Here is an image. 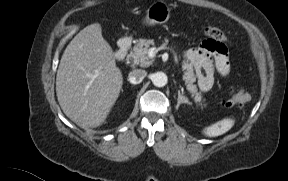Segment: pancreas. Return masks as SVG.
Wrapping results in <instances>:
<instances>
[{
  "mask_svg": "<svg viewBox=\"0 0 288 181\" xmlns=\"http://www.w3.org/2000/svg\"><path fill=\"white\" fill-rule=\"evenodd\" d=\"M155 42L151 39H139L137 44L133 48V57L136 63L141 66H146L149 64L147 60L148 52L151 46H154ZM182 68L184 70L183 80L185 81L186 89L190 92L191 97L194 102L201 106H206L202 104L203 97L198 91L197 86L194 84L196 77L194 75V69L192 64L188 60L182 61Z\"/></svg>",
  "mask_w": 288,
  "mask_h": 181,
  "instance_id": "pancreas-1",
  "label": "pancreas"
}]
</instances>
